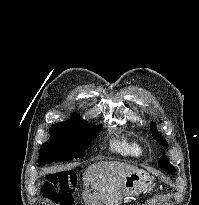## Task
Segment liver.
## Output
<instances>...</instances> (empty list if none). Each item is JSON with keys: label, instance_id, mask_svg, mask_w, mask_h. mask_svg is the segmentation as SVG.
<instances>
[{"label": "liver", "instance_id": "obj_1", "mask_svg": "<svg viewBox=\"0 0 199 205\" xmlns=\"http://www.w3.org/2000/svg\"><path fill=\"white\" fill-rule=\"evenodd\" d=\"M131 172H143V170L113 161H102L89 166L83 174V182L86 188L91 186L93 193L83 192L85 204L120 205L124 197L123 181Z\"/></svg>", "mask_w": 199, "mask_h": 205}]
</instances>
